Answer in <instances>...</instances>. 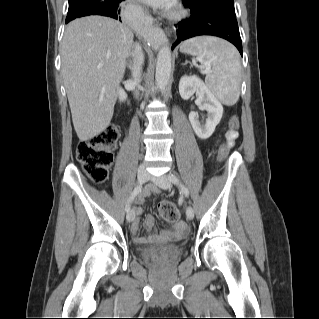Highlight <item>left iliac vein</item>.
<instances>
[{
    "mask_svg": "<svg viewBox=\"0 0 319 319\" xmlns=\"http://www.w3.org/2000/svg\"><path fill=\"white\" fill-rule=\"evenodd\" d=\"M150 180L162 189L168 190L171 188V181L166 175H161L159 177L151 176ZM186 216L189 220H192L194 217V210L190 205L186 206Z\"/></svg>",
    "mask_w": 319,
    "mask_h": 319,
    "instance_id": "4c4485c4",
    "label": "left iliac vein"
}]
</instances>
